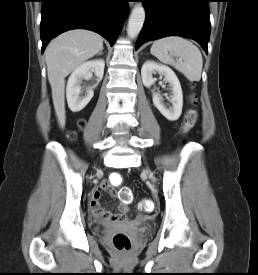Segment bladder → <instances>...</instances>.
Masks as SVG:
<instances>
[{
	"label": "bladder",
	"mask_w": 258,
	"mask_h": 275,
	"mask_svg": "<svg viewBox=\"0 0 258 275\" xmlns=\"http://www.w3.org/2000/svg\"><path fill=\"white\" fill-rule=\"evenodd\" d=\"M142 227H143V231H144V232H147V231L150 229V223L145 222V223L142 225Z\"/></svg>",
	"instance_id": "obj_1"
}]
</instances>
